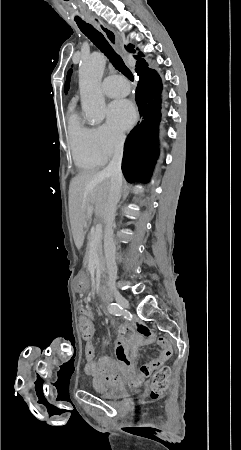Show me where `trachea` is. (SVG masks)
<instances>
[{
    "instance_id": "obj_1",
    "label": "trachea",
    "mask_w": 241,
    "mask_h": 450,
    "mask_svg": "<svg viewBox=\"0 0 241 450\" xmlns=\"http://www.w3.org/2000/svg\"><path fill=\"white\" fill-rule=\"evenodd\" d=\"M77 25L80 28L81 32L84 33V35L88 37L89 40H91V42L96 45V47H98L101 52L104 53V55H106V57L110 60L116 70H119V72L125 75V77H127L129 80H134L132 72L125 65L120 55H118V53H116L111 45L107 42L106 38H104V35L101 32L96 30V28H94L93 25H90V23L77 22Z\"/></svg>"
}]
</instances>
